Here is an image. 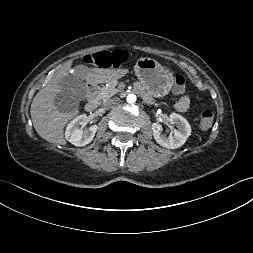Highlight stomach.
<instances>
[{"label":"stomach","mask_w":253,"mask_h":253,"mask_svg":"<svg viewBox=\"0 0 253 253\" xmlns=\"http://www.w3.org/2000/svg\"><path fill=\"white\" fill-rule=\"evenodd\" d=\"M134 71L139 84L151 97H164L171 91L174 85L172 71L152 58L139 59L134 67Z\"/></svg>","instance_id":"obj_1"}]
</instances>
